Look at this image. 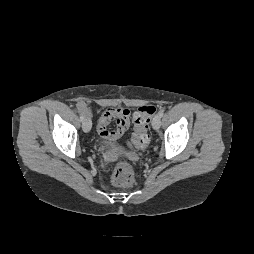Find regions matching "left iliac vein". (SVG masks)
Wrapping results in <instances>:
<instances>
[{"label":"left iliac vein","instance_id":"4c4485c4","mask_svg":"<svg viewBox=\"0 0 254 254\" xmlns=\"http://www.w3.org/2000/svg\"><path fill=\"white\" fill-rule=\"evenodd\" d=\"M160 125H161V117L157 114L154 116L152 120V127L154 130H158L160 128Z\"/></svg>","mask_w":254,"mask_h":254}]
</instances>
